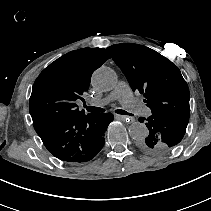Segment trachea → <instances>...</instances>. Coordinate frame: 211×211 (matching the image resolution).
I'll list each match as a JSON object with an SVG mask.
<instances>
[{"label": "trachea", "instance_id": "trachea-1", "mask_svg": "<svg viewBox=\"0 0 211 211\" xmlns=\"http://www.w3.org/2000/svg\"><path fill=\"white\" fill-rule=\"evenodd\" d=\"M86 109L88 112H92V113H100V112L105 111L104 108H99V107H94V106H86ZM115 112L120 115H130V116L132 115L131 113H128L127 111L122 110V109H116Z\"/></svg>", "mask_w": 211, "mask_h": 211}]
</instances>
